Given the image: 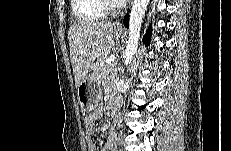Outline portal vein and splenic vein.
Wrapping results in <instances>:
<instances>
[{
  "instance_id": "1",
  "label": "portal vein and splenic vein",
  "mask_w": 231,
  "mask_h": 151,
  "mask_svg": "<svg viewBox=\"0 0 231 151\" xmlns=\"http://www.w3.org/2000/svg\"><path fill=\"white\" fill-rule=\"evenodd\" d=\"M115 59H116V56H115V55H111V56H109V57L106 59L105 62H106L107 64H109V63L115 61Z\"/></svg>"
}]
</instances>
